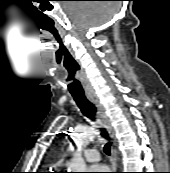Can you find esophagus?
Returning a JSON list of instances; mask_svg holds the SVG:
<instances>
[{"label":"esophagus","instance_id":"obj_1","mask_svg":"<svg viewBox=\"0 0 170 173\" xmlns=\"http://www.w3.org/2000/svg\"><path fill=\"white\" fill-rule=\"evenodd\" d=\"M87 98L96 106L98 113L102 119L103 124L105 125L109 136L111 138V157H110V162H111V169L112 172H116L117 168V152H116V139H115V133L113 126L111 124L110 118L108 114L106 113L105 107L102 105L98 95L94 92H86Z\"/></svg>","mask_w":170,"mask_h":173}]
</instances>
